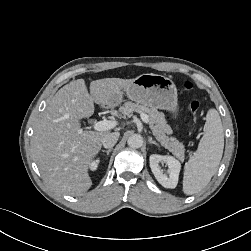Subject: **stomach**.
I'll return each instance as SVG.
<instances>
[{
	"mask_svg": "<svg viewBox=\"0 0 251 251\" xmlns=\"http://www.w3.org/2000/svg\"><path fill=\"white\" fill-rule=\"evenodd\" d=\"M123 93L137 104L166 110L174 118L178 116L177 88L166 76L150 73L136 77L126 88L113 94L108 106L120 104Z\"/></svg>",
	"mask_w": 251,
	"mask_h": 251,
	"instance_id": "obj_1",
	"label": "stomach"
}]
</instances>
